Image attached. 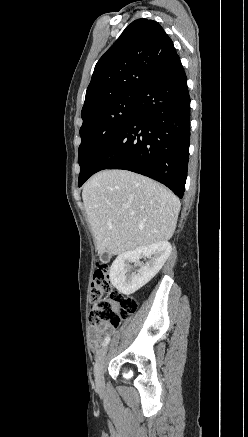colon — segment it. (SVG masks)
<instances>
[{"label": "colon", "mask_w": 248, "mask_h": 437, "mask_svg": "<svg viewBox=\"0 0 248 437\" xmlns=\"http://www.w3.org/2000/svg\"><path fill=\"white\" fill-rule=\"evenodd\" d=\"M90 317L93 327L116 328L137 309V302L113 290L107 264L96 266L90 288Z\"/></svg>", "instance_id": "colon-1"}]
</instances>
